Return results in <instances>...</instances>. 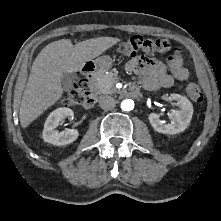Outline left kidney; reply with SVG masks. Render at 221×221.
<instances>
[{
	"label": "left kidney",
	"mask_w": 221,
	"mask_h": 221,
	"mask_svg": "<svg viewBox=\"0 0 221 221\" xmlns=\"http://www.w3.org/2000/svg\"><path fill=\"white\" fill-rule=\"evenodd\" d=\"M170 98L180 105V110H171L169 112L171 123L165 124L160 120L159 115L155 113L149 115V122L155 131L173 135L183 132L187 128L192 119L193 105L186 97L179 94H171Z\"/></svg>",
	"instance_id": "obj_1"
}]
</instances>
